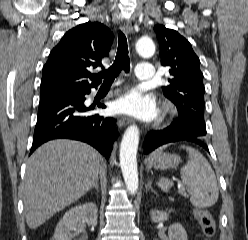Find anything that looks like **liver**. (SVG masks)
Returning a JSON list of instances; mask_svg holds the SVG:
<instances>
[{
  "mask_svg": "<svg viewBox=\"0 0 248 240\" xmlns=\"http://www.w3.org/2000/svg\"><path fill=\"white\" fill-rule=\"evenodd\" d=\"M101 156L87 144L53 140L28 159L23 183L26 222L36 229L80 199L98 180Z\"/></svg>",
  "mask_w": 248,
  "mask_h": 240,
  "instance_id": "liver-1",
  "label": "liver"
}]
</instances>
